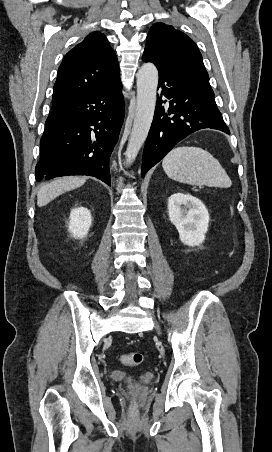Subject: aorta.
<instances>
[{"label": "aorta", "mask_w": 272, "mask_h": 452, "mask_svg": "<svg viewBox=\"0 0 272 452\" xmlns=\"http://www.w3.org/2000/svg\"><path fill=\"white\" fill-rule=\"evenodd\" d=\"M158 70L153 63H144L137 73V106L126 161L132 163L143 146L153 120L156 106Z\"/></svg>", "instance_id": "762f6f07"}]
</instances>
